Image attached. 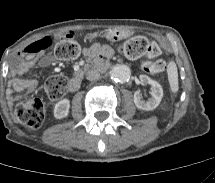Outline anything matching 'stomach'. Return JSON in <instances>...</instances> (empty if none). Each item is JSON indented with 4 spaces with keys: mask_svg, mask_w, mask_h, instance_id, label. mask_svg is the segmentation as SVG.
Here are the masks:
<instances>
[{
    "mask_svg": "<svg viewBox=\"0 0 215 183\" xmlns=\"http://www.w3.org/2000/svg\"><path fill=\"white\" fill-rule=\"evenodd\" d=\"M130 36H131V33L129 31L120 30V29H112L104 33V37H106L111 42H118Z\"/></svg>",
    "mask_w": 215,
    "mask_h": 183,
    "instance_id": "stomach-1",
    "label": "stomach"
}]
</instances>
